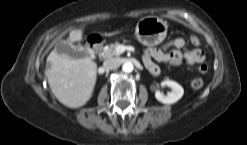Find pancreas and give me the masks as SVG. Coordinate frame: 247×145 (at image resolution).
Masks as SVG:
<instances>
[{"mask_svg":"<svg viewBox=\"0 0 247 145\" xmlns=\"http://www.w3.org/2000/svg\"><path fill=\"white\" fill-rule=\"evenodd\" d=\"M119 43H114L109 46H106L102 49L100 55L103 58H113V57H119V53L116 52V48L119 46Z\"/></svg>","mask_w":247,"mask_h":145,"instance_id":"obj_1","label":"pancreas"}]
</instances>
